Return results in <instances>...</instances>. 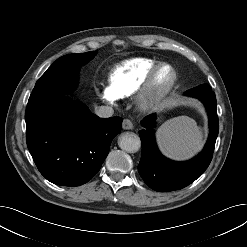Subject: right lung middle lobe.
Wrapping results in <instances>:
<instances>
[{"label":"right lung middle lobe","mask_w":247,"mask_h":247,"mask_svg":"<svg viewBox=\"0 0 247 247\" xmlns=\"http://www.w3.org/2000/svg\"><path fill=\"white\" fill-rule=\"evenodd\" d=\"M95 52L65 55L57 59L40 77L30 95L31 99L65 95L77 84V71L94 56Z\"/></svg>","instance_id":"dd1d6c3e"}]
</instances>
